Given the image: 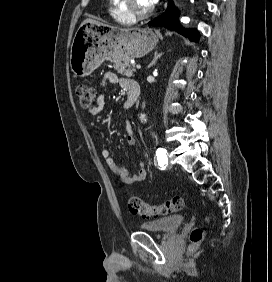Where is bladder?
Here are the masks:
<instances>
[{
  "label": "bladder",
  "mask_w": 272,
  "mask_h": 282,
  "mask_svg": "<svg viewBox=\"0 0 272 282\" xmlns=\"http://www.w3.org/2000/svg\"><path fill=\"white\" fill-rule=\"evenodd\" d=\"M185 218L183 214H175L155 221L142 223L140 229L146 232L167 233L181 226Z\"/></svg>",
  "instance_id": "31cf9c89"
}]
</instances>
